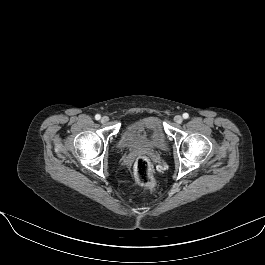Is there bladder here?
<instances>
[{
	"instance_id": "bladder-1",
	"label": "bladder",
	"mask_w": 265,
	"mask_h": 265,
	"mask_svg": "<svg viewBox=\"0 0 265 265\" xmlns=\"http://www.w3.org/2000/svg\"><path fill=\"white\" fill-rule=\"evenodd\" d=\"M164 143V134L159 118L148 116L128 124L122 132L120 146L133 148L160 146Z\"/></svg>"
}]
</instances>
